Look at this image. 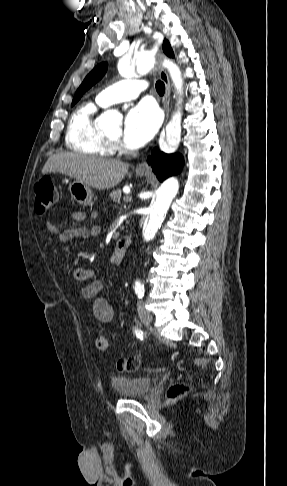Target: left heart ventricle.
<instances>
[{
    "instance_id": "left-heart-ventricle-1",
    "label": "left heart ventricle",
    "mask_w": 287,
    "mask_h": 486,
    "mask_svg": "<svg viewBox=\"0 0 287 486\" xmlns=\"http://www.w3.org/2000/svg\"><path fill=\"white\" fill-rule=\"evenodd\" d=\"M111 137H112L113 139H118V137H119V133L112 134V135H111Z\"/></svg>"
}]
</instances>
